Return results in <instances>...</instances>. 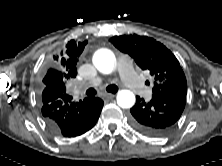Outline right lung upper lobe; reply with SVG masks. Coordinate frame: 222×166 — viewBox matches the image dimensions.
Listing matches in <instances>:
<instances>
[{
  "label": "right lung upper lobe",
  "mask_w": 222,
  "mask_h": 166,
  "mask_svg": "<svg viewBox=\"0 0 222 166\" xmlns=\"http://www.w3.org/2000/svg\"><path fill=\"white\" fill-rule=\"evenodd\" d=\"M87 42L70 40L57 49L52 58V66L43 78L44 87L57 88L66 93L67 81L77 75L79 57Z\"/></svg>",
  "instance_id": "right-lung-upper-lobe-1"
}]
</instances>
